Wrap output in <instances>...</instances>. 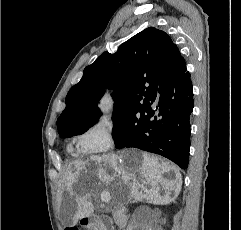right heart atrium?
<instances>
[{
    "instance_id": "obj_1",
    "label": "right heart atrium",
    "mask_w": 241,
    "mask_h": 230,
    "mask_svg": "<svg viewBox=\"0 0 241 230\" xmlns=\"http://www.w3.org/2000/svg\"><path fill=\"white\" fill-rule=\"evenodd\" d=\"M116 143L114 127L108 120L92 125L79 138L80 149L87 153L108 152L115 148Z\"/></svg>"
}]
</instances>
